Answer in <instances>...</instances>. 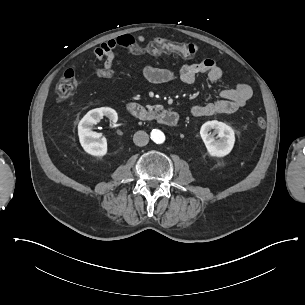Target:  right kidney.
Wrapping results in <instances>:
<instances>
[{
    "label": "right kidney",
    "mask_w": 305,
    "mask_h": 305,
    "mask_svg": "<svg viewBox=\"0 0 305 305\" xmlns=\"http://www.w3.org/2000/svg\"><path fill=\"white\" fill-rule=\"evenodd\" d=\"M103 116H106L113 123L118 120L116 111L109 107H102L90 110L78 125L80 143L84 150L94 156H103L107 153V144L101 134L93 132L92 126L97 124Z\"/></svg>",
    "instance_id": "1"
}]
</instances>
